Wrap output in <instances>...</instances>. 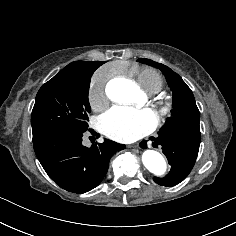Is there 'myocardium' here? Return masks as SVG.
Instances as JSON below:
<instances>
[{"instance_id":"myocardium-1","label":"myocardium","mask_w":236,"mask_h":236,"mask_svg":"<svg viewBox=\"0 0 236 236\" xmlns=\"http://www.w3.org/2000/svg\"><path fill=\"white\" fill-rule=\"evenodd\" d=\"M156 109V117H157V125L162 126L164 125L171 114V103L168 101H159L155 105Z\"/></svg>"}]
</instances>
